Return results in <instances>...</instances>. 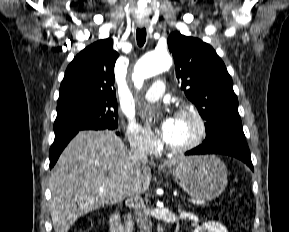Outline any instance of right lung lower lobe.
<instances>
[{
    "label": "right lung lower lobe",
    "instance_id": "1",
    "mask_svg": "<svg viewBox=\"0 0 289 232\" xmlns=\"http://www.w3.org/2000/svg\"><path fill=\"white\" fill-rule=\"evenodd\" d=\"M110 130H114V129H110ZM80 130H72V131H68L65 133H61L58 135H55V139L54 142L50 148L49 151V158H50V167L52 168L59 155L61 154V152L63 151V149L65 148V146L68 144V142L79 132ZM117 134H119L117 132Z\"/></svg>",
    "mask_w": 289,
    "mask_h": 232
}]
</instances>
